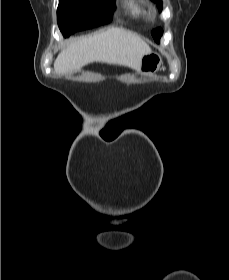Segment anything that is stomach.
Segmentation results:
<instances>
[{
  "label": "stomach",
  "instance_id": "stomach-1",
  "mask_svg": "<svg viewBox=\"0 0 229 280\" xmlns=\"http://www.w3.org/2000/svg\"><path fill=\"white\" fill-rule=\"evenodd\" d=\"M161 64V56L156 52H151L142 57L139 72L145 75H153L159 71Z\"/></svg>",
  "mask_w": 229,
  "mask_h": 280
}]
</instances>
